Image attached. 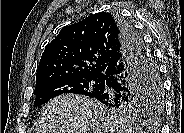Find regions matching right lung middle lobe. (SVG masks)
I'll return each instance as SVG.
<instances>
[{"label": "right lung middle lobe", "mask_w": 184, "mask_h": 133, "mask_svg": "<svg viewBox=\"0 0 184 133\" xmlns=\"http://www.w3.org/2000/svg\"><path fill=\"white\" fill-rule=\"evenodd\" d=\"M139 35V34H138ZM150 60L151 83L142 101H129L113 105L110 108L120 114L133 115L151 113L159 116L163 107L162 83L159 77L157 65L151 55L147 53ZM104 88L103 75H87L76 77H65L53 80L35 89L36 95L34 107L40 106L50 99L62 94H82L95 97L101 94Z\"/></svg>", "instance_id": "dd1d6c3e"}]
</instances>
